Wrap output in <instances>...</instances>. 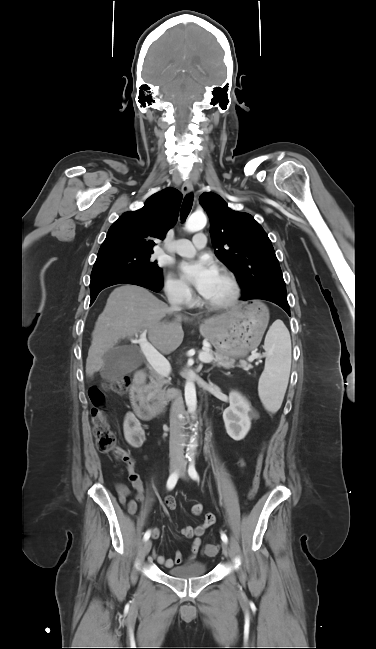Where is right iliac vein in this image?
<instances>
[{"label":"right iliac vein","mask_w":376,"mask_h":649,"mask_svg":"<svg viewBox=\"0 0 376 649\" xmlns=\"http://www.w3.org/2000/svg\"><path fill=\"white\" fill-rule=\"evenodd\" d=\"M177 467H178V462H177V461H172V462L170 463V471H171V472H174V471L177 469ZM151 547H152V542H151V540H147V541L144 543V546H143V555H144V556H146V555L150 552Z\"/></svg>","instance_id":"right-iliac-vein-1"}]
</instances>
